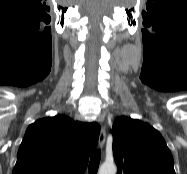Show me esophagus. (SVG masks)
Here are the masks:
<instances>
[{
  "instance_id": "1",
  "label": "esophagus",
  "mask_w": 187,
  "mask_h": 174,
  "mask_svg": "<svg viewBox=\"0 0 187 174\" xmlns=\"http://www.w3.org/2000/svg\"><path fill=\"white\" fill-rule=\"evenodd\" d=\"M105 140H106L105 128L101 127L100 134H99V139H98V143H99V146L101 148H103V146L105 144Z\"/></svg>"
}]
</instances>
